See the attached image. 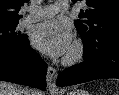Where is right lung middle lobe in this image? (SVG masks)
<instances>
[{"label":"right lung middle lobe","instance_id":"1","mask_svg":"<svg viewBox=\"0 0 119 95\" xmlns=\"http://www.w3.org/2000/svg\"><path fill=\"white\" fill-rule=\"evenodd\" d=\"M17 25L18 23L0 25V44L19 42L25 37L20 32H15Z\"/></svg>","mask_w":119,"mask_h":95}]
</instances>
